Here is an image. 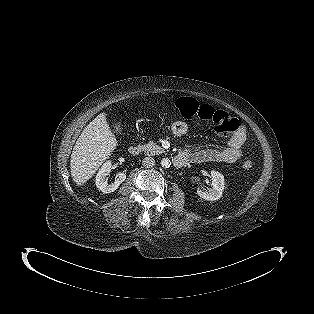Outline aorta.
Masks as SVG:
<instances>
[{
    "label": "aorta",
    "instance_id": "aorta-1",
    "mask_svg": "<svg viewBox=\"0 0 314 314\" xmlns=\"http://www.w3.org/2000/svg\"><path fill=\"white\" fill-rule=\"evenodd\" d=\"M170 165H171V162H170V160H169L168 158H163V159L161 160V166H162L163 168H169Z\"/></svg>",
    "mask_w": 314,
    "mask_h": 314
}]
</instances>
